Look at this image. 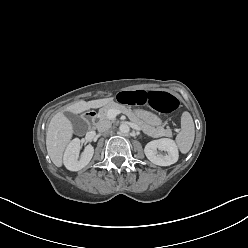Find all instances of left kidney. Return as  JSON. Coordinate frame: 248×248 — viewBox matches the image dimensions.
<instances>
[{"label": "left kidney", "instance_id": "5707ae66", "mask_svg": "<svg viewBox=\"0 0 248 248\" xmlns=\"http://www.w3.org/2000/svg\"><path fill=\"white\" fill-rule=\"evenodd\" d=\"M158 150L166 152L159 153ZM146 157L154 164L159 166H170L178 160V149L172 139L162 138L153 140L144 148Z\"/></svg>", "mask_w": 248, "mask_h": 248}]
</instances>
